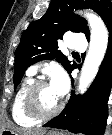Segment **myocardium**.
Listing matches in <instances>:
<instances>
[{"instance_id":"1","label":"myocardium","mask_w":112,"mask_h":135,"mask_svg":"<svg viewBox=\"0 0 112 135\" xmlns=\"http://www.w3.org/2000/svg\"><path fill=\"white\" fill-rule=\"evenodd\" d=\"M46 84H48L46 80H35L27 89L24 97V107L27 114L37 121L48 120L57 116L64 107V102L60 101L59 105L50 112L45 113L39 109L37 104V92L40 87Z\"/></svg>"}]
</instances>
